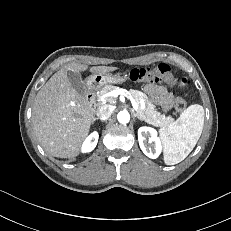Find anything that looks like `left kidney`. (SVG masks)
Here are the masks:
<instances>
[{"label": "left kidney", "mask_w": 231, "mask_h": 231, "mask_svg": "<svg viewBox=\"0 0 231 231\" xmlns=\"http://www.w3.org/2000/svg\"><path fill=\"white\" fill-rule=\"evenodd\" d=\"M138 141L143 153L151 159H156L162 152V143L157 131L151 127L138 129Z\"/></svg>", "instance_id": "5707ae66"}]
</instances>
